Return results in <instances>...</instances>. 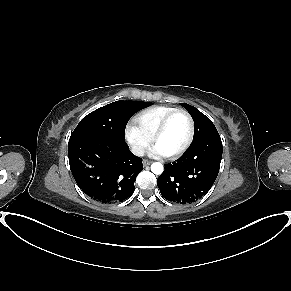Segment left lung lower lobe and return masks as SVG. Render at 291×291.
<instances>
[{"label": "left lung lower lobe", "mask_w": 291, "mask_h": 291, "mask_svg": "<svg viewBox=\"0 0 291 291\" xmlns=\"http://www.w3.org/2000/svg\"><path fill=\"white\" fill-rule=\"evenodd\" d=\"M222 142L219 135L192 143L187 152L157 179L161 195L168 201L192 203L211 189L220 169Z\"/></svg>", "instance_id": "1"}]
</instances>
